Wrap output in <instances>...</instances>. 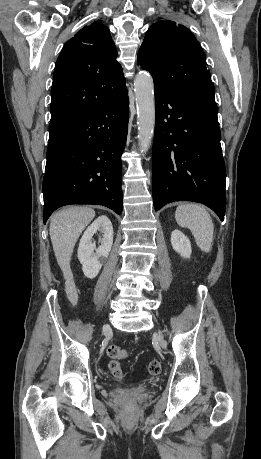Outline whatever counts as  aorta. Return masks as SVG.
Instances as JSON below:
<instances>
[{"mask_svg":"<svg viewBox=\"0 0 261 459\" xmlns=\"http://www.w3.org/2000/svg\"><path fill=\"white\" fill-rule=\"evenodd\" d=\"M137 108L138 144L142 153L150 148L155 127V100L152 76L139 72L134 81Z\"/></svg>","mask_w":261,"mask_h":459,"instance_id":"1","label":"aorta"}]
</instances>
